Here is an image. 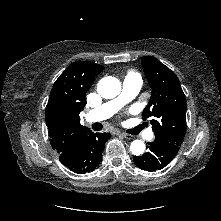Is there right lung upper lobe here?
I'll list each match as a JSON object with an SVG mask.
<instances>
[{"label":"right lung upper lobe","instance_id":"right-lung-upper-lobe-1","mask_svg":"<svg viewBox=\"0 0 221 221\" xmlns=\"http://www.w3.org/2000/svg\"><path fill=\"white\" fill-rule=\"evenodd\" d=\"M103 69V66L93 62H73L53 85L45 119L51 146L58 154L76 150L90 131L81 126L79 113L84 109L86 93L94 77Z\"/></svg>","mask_w":221,"mask_h":221}]
</instances>
